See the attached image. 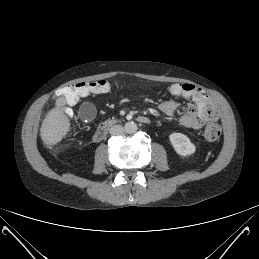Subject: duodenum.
I'll use <instances>...</instances> for the list:
<instances>
[{
	"label": "duodenum",
	"instance_id": "duodenum-1",
	"mask_svg": "<svg viewBox=\"0 0 259 259\" xmlns=\"http://www.w3.org/2000/svg\"><path fill=\"white\" fill-rule=\"evenodd\" d=\"M137 121L143 124H148L150 122V119L147 116H138ZM113 125L112 122H105L101 124L96 132L93 135V140L95 142H99L103 140L109 130V128Z\"/></svg>",
	"mask_w": 259,
	"mask_h": 259
}]
</instances>
